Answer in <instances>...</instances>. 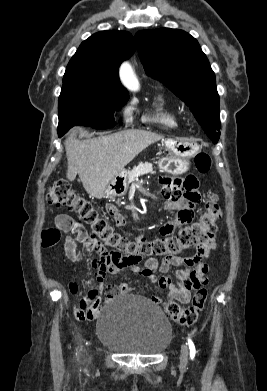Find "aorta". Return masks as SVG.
Returning <instances> with one entry per match:
<instances>
[{"mask_svg":"<svg viewBox=\"0 0 267 391\" xmlns=\"http://www.w3.org/2000/svg\"><path fill=\"white\" fill-rule=\"evenodd\" d=\"M120 77L123 84L131 91L139 90V82L133 72L131 65L126 62L121 66Z\"/></svg>","mask_w":267,"mask_h":391,"instance_id":"1","label":"aorta"}]
</instances>
